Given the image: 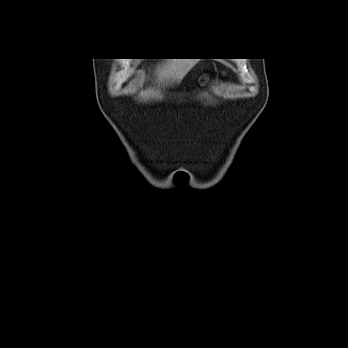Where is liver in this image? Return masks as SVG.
Listing matches in <instances>:
<instances>
[{
	"instance_id": "liver-1",
	"label": "liver",
	"mask_w": 348,
	"mask_h": 348,
	"mask_svg": "<svg viewBox=\"0 0 348 348\" xmlns=\"http://www.w3.org/2000/svg\"><path fill=\"white\" fill-rule=\"evenodd\" d=\"M194 59H168L155 70L158 83L164 85L180 83L195 64Z\"/></svg>"
}]
</instances>
